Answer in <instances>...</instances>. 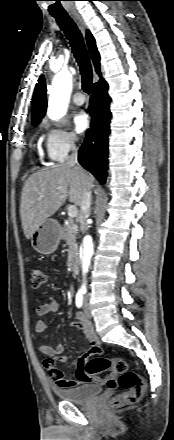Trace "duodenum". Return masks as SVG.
Segmentation results:
<instances>
[{"label": "duodenum", "mask_w": 174, "mask_h": 440, "mask_svg": "<svg viewBox=\"0 0 174 440\" xmlns=\"http://www.w3.org/2000/svg\"><path fill=\"white\" fill-rule=\"evenodd\" d=\"M69 268L72 272L78 273L79 272V260L76 256H72L69 260Z\"/></svg>", "instance_id": "410a0bca"}]
</instances>
